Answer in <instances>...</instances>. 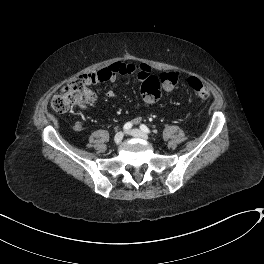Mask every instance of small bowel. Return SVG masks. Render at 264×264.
Masks as SVG:
<instances>
[{
    "label": "small bowel",
    "mask_w": 264,
    "mask_h": 264,
    "mask_svg": "<svg viewBox=\"0 0 264 264\" xmlns=\"http://www.w3.org/2000/svg\"><path fill=\"white\" fill-rule=\"evenodd\" d=\"M125 67L127 69V73L124 75H128L133 79L138 80L139 82H143L147 78L153 76L152 69L147 64H134V63H123V64H111L101 70L86 74L83 78L88 83H102V82H115L117 77L120 75L119 69L121 67ZM166 91H171L172 89H165ZM107 95L110 98H115V93L113 91H108ZM152 100L145 99L142 97V101L145 103H149Z\"/></svg>",
    "instance_id": "obj_1"
}]
</instances>
